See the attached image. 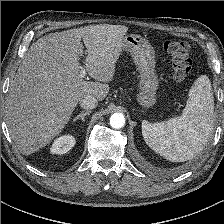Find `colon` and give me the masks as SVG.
<instances>
[{"instance_id":"obj_1","label":"colon","mask_w":224,"mask_h":224,"mask_svg":"<svg viewBox=\"0 0 224 224\" xmlns=\"http://www.w3.org/2000/svg\"><path fill=\"white\" fill-rule=\"evenodd\" d=\"M163 50L171 59L174 80L180 83L184 82L192 68L188 43L185 41L169 40L163 44Z\"/></svg>"}]
</instances>
